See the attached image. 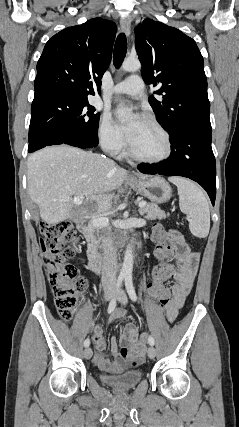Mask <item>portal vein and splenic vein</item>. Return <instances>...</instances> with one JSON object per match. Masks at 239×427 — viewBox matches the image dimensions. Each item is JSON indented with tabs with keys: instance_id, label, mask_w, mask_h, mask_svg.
<instances>
[{
	"instance_id": "1",
	"label": "portal vein and splenic vein",
	"mask_w": 239,
	"mask_h": 427,
	"mask_svg": "<svg viewBox=\"0 0 239 427\" xmlns=\"http://www.w3.org/2000/svg\"><path fill=\"white\" fill-rule=\"evenodd\" d=\"M82 199H84V197H82V196L81 197H74L73 198V202L75 204H81ZM138 206H139V208H143V207L146 206V202L145 201H141V202H139ZM108 224H109V218H107V217L94 218L91 221V225L94 226V227H105Z\"/></svg>"
}]
</instances>
